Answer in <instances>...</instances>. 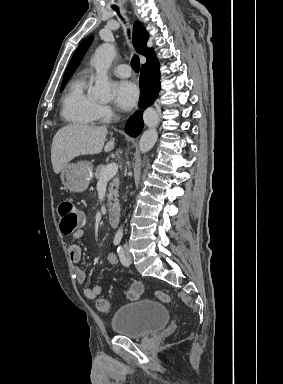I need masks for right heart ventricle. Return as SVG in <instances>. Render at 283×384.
Wrapping results in <instances>:
<instances>
[{
	"mask_svg": "<svg viewBox=\"0 0 283 384\" xmlns=\"http://www.w3.org/2000/svg\"><path fill=\"white\" fill-rule=\"evenodd\" d=\"M87 79L83 73L73 76L61 98V115L71 126L87 128L100 120V104L86 92Z\"/></svg>",
	"mask_w": 283,
	"mask_h": 384,
	"instance_id": "obj_1",
	"label": "right heart ventricle"
}]
</instances>
